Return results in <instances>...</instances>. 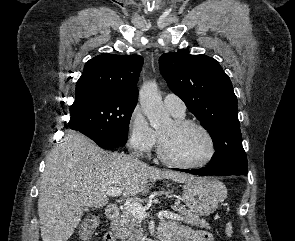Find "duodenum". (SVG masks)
Returning a JSON list of instances; mask_svg holds the SVG:
<instances>
[{"instance_id":"duodenum-1","label":"duodenum","mask_w":295,"mask_h":241,"mask_svg":"<svg viewBox=\"0 0 295 241\" xmlns=\"http://www.w3.org/2000/svg\"><path fill=\"white\" fill-rule=\"evenodd\" d=\"M106 214H107V217L112 220L119 218L120 216L119 206L117 204L108 205ZM155 241H169V238L167 235L159 233Z\"/></svg>"}]
</instances>
